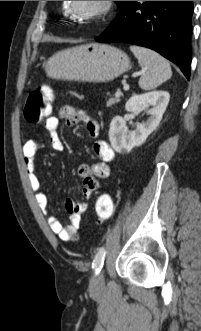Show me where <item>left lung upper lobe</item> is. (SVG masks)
<instances>
[{"label":"left lung upper lobe","mask_w":201,"mask_h":331,"mask_svg":"<svg viewBox=\"0 0 201 331\" xmlns=\"http://www.w3.org/2000/svg\"><path fill=\"white\" fill-rule=\"evenodd\" d=\"M116 3H117V5H118V7H120L122 1H116Z\"/></svg>","instance_id":"obj_1"}]
</instances>
